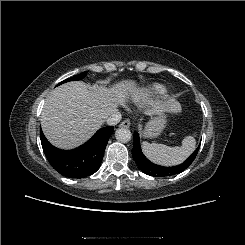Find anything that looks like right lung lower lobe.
Segmentation results:
<instances>
[{
	"label": "right lung lower lobe",
	"mask_w": 245,
	"mask_h": 245,
	"mask_svg": "<svg viewBox=\"0 0 245 245\" xmlns=\"http://www.w3.org/2000/svg\"><path fill=\"white\" fill-rule=\"evenodd\" d=\"M113 131V126L100 129L84 145L68 151L52 146L42 130H40V138L45 156L57 172L69 178H83L99 169Z\"/></svg>",
	"instance_id": "1"
}]
</instances>
